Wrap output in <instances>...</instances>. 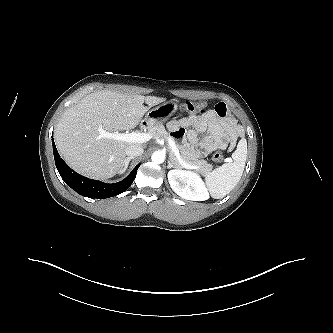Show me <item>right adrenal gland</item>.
I'll list each match as a JSON object with an SVG mask.
<instances>
[{"label":"right adrenal gland","mask_w":333,"mask_h":333,"mask_svg":"<svg viewBox=\"0 0 333 333\" xmlns=\"http://www.w3.org/2000/svg\"><path fill=\"white\" fill-rule=\"evenodd\" d=\"M134 159V157H127L124 161V168L126 169L129 165V162Z\"/></svg>","instance_id":"right-adrenal-gland-1"}]
</instances>
